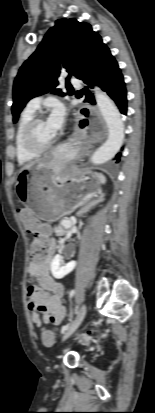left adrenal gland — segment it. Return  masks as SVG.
<instances>
[{"label": "left adrenal gland", "instance_id": "obj_1", "mask_svg": "<svg viewBox=\"0 0 155 413\" xmlns=\"http://www.w3.org/2000/svg\"><path fill=\"white\" fill-rule=\"evenodd\" d=\"M100 200H101V199H100ZM93 206H95V203H94V204H91V205H89V206H87V207H85V208L82 209V210H80V211L78 212V216H80V215H82L83 213L87 212V211H88V208H89V207H93Z\"/></svg>", "mask_w": 155, "mask_h": 413}]
</instances>
